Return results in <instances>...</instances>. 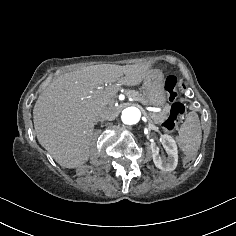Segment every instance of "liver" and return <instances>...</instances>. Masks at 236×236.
<instances>
[{"label": "liver", "mask_w": 236, "mask_h": 236, "mask_svg": "<svg viewBox=\"0 0 236 236\" xmlns=\"http://www.w3.org/2000/svg\"><path fill=\"white\" fill-rule=\"evenodd\" d=\"M150 64H101L60 75L39 95L33 122L40 145L62 167L75 168L89 159L94 125L118 116L113 96L120 87L139 85L152 74ZM104 83L105 89H98Z\"/></svg>", "instance_id": "obj_1"}]
</instances>
